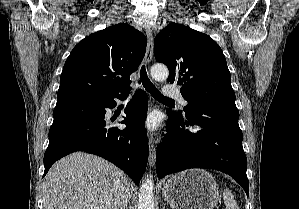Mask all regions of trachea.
<instances>
[{
    "label": "trachea",
    "instance_id": "obj_1",
    "mask_svg": "<svg viewBox=\"0 0 299 209\" xmlns=\"http://www.w3.org/2000/svg\"><path fill=\"white\" fill-rule=\"evenodd\" d=\"M140 83L142 82L145 89L157 100L159 101H172V99L164 97L157 88L152 84V82L149 80L145 66L143 65L140 70Z\"/></svg>",
    "mask_w": 299,
    "mask_h": 209
}]
</instances>
